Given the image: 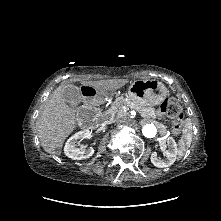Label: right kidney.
I'll use <instances>...</instances> for the list:
<instances>
[{
	"mask_svg": "<svg viewBox=\"0 0 221 221\" xmlns=\"http://www.w3.org/2000/svg\"><path fill=\"white\" fill-rule=\"evenodd\" d=\"M90 138V131L83 130L75 133L71 136L65 146H64V153L67 157L73 160H82L91 157L94 154L93 148H77L76 145L80 143L83 139Z\"/></svg>",
	"mask_w": 221,
	"mask_h": 221,
	"instance_id": "right-kidney-1",
	"label": "right kidney"
}]
</instances>
